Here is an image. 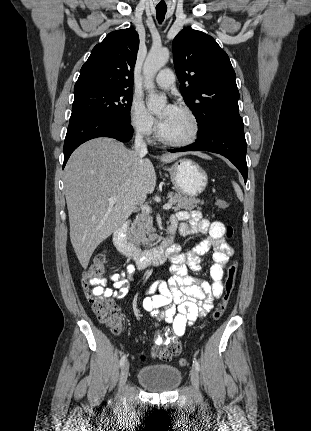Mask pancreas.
Segmentation results:
<instances>
[{
	"label": "pancreas",
	"mask_w": 311,
	"mask_h": 431,
	"mask_svg": "<svg viewBox=\"0 0 311 431\" xmlns=\"http://www.w3.org/2000/svg\"><path fill=\"white\" fill-rule=\"evenodd\" d=\"M167 198L173 200L172 204H175L173 210H201L198 204H204L203 200H198V198H189V196H184V194H175V192H170ZM152 216L149 214H140L137 219H134L131 223V227L128 229V239L129 241H134L137 245H144V247H152L156 245L155 239L157 237L155 227H153Z\"/></svg>",
	"instance_id": "cf45deb5"
}]
</instances>
